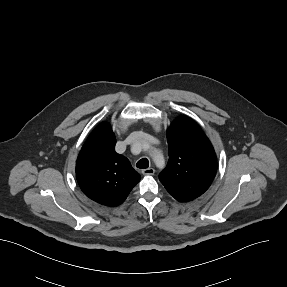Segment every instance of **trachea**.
<instances>
[{"instance_id":"1","label":"trachea","mask_w":287,"mask_h":287,"mask_svg":"<svg viewBox=\"0 0 287 287\" xmlns=\"http://www.w3.org/2000/svg\"><path fill=\"white\" fill-rule=\"evenodd\" d=\"M137 168L146 169L149 167V161L147 158H142L136 163Z\"/></svg>"}]
</instances>
